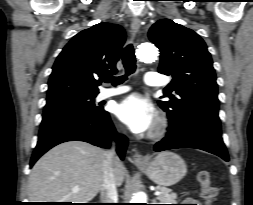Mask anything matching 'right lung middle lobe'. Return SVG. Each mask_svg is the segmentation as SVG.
Segmentation results:
<instances>
[{"mask_svg":"<svg viewBox=\"0 0 253 205\" xmlns=\"http://www.w3.org/2000/svg\"><path fill=\"white\" fill-rule=\"evenodd\" d=\"M94 96H76L48 101L45 105L44 113L71 112L82 115H96L103 109L96 107Z\"/></svg>","mask_w":253,"mask_h":205,"instance_id":"obj_1","label":"right lung middle lobe"}]
</instances>
